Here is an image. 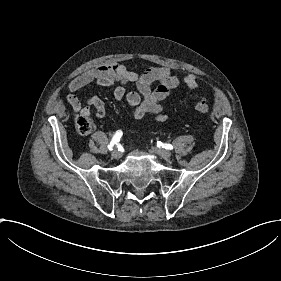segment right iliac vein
Here are the masks:
<instances>
[{
    "label": "right iliac vein",
    "mask_w": 281,
    "mask_h": 281,
    "mask_svg": "<svg viewBox=\"0 0 281 281\" xmlns=\"http://www.w3.org/2000/svg\"><path fill=\"white\" fill-rule=\"evenodd\" d=\"M112 158L114 159V160H119L120 158H121V153L119 152V151H114L113 153H112Z\"/></svg>",
    "instance_id": "obj_1"
}]
</instances>
